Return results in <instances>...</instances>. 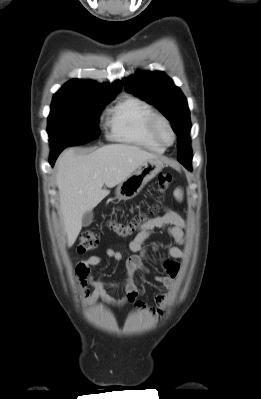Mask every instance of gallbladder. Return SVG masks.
Instances as JSON below:
<instances>
[{"label":"gallbladder","instance_id":"1","mask_svg":"<svg viewBox=\"0 0 261 399\" xmlns=\"http://www.w3.org/2000/svg\"><path fill=\"white\" fill-rule=\"evenodd\" d=\"M92 221H93V212L92 211L85 212L82 217V225L84 227H87L92 223Z\"/></svg>","mask_w":261,"mask_h":399}]
</instances>
